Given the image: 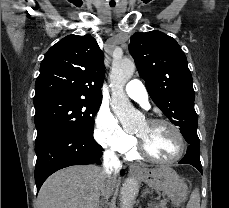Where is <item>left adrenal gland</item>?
<instances>
[{
    "mask_svg": "<svg viewBox=\"0 0 229 208\" xmlns=\"http://www.w3.org/2000/svg\"><path fill=\"white\" fill-rule=\"evenodd\" d=\"M146 194H147V190H146V192H144L143 196H146Z\"/></svg>",
    "mask_w": 229,
    "mask_h": 208,
    "instance_id": "left-adrenal-gland-1",
    "label": "left adrenal gland"
}]
</instances>
